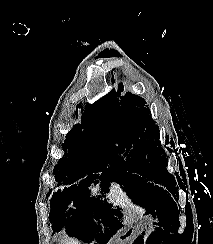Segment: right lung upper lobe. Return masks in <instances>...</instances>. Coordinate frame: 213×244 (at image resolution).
<instances>
[{"label":"right lung upper lobe","mask_w":213,"mask_h":244,"mask_svg":"<svg viewBox=\"0 0 213 244\" xmlns=\"http://www.w3.org/2000/svg\"><path fill=\"white\" fill-rule=\"evenodd\" d=\"M86 107H87L86 112L101 114V115L107 116L106 109L104 108L101 101H98L97 103H94L93 105L87 104Z\"/></svg>","instance_id":"1"}]
</instances>
